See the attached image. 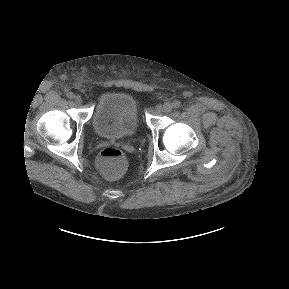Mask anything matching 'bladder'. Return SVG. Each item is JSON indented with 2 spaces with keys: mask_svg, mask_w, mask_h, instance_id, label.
<instances>
[{
  "mask_svg": "<svg viewBox=\"0 0 289 289\" xmlns=\"http://www.w3.org/2000/svg\"><path fill=\"white\" fill-rule=\"evenodd\" d=\"M92 125L95 133L105 139L120 140L135 137L139 127L135 99L126 93H106L95 108Z\"/></svg>",
  "mask_w": 289,
  "mask_h": 289,
  "instance_id": "1",
  "label": "bladder"
}]
</instances>
